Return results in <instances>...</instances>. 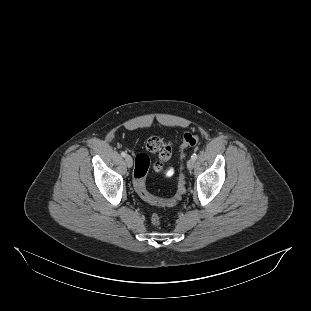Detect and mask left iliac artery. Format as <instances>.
Masks as SVG:
<instances>
[{
  "label": "left iliac artery",
  "mask_w": 311,
  "mask_h": 311,
  "mask_svg": "<svg viewBox=\"0 0 311 311\" xmlns=\"http://www.w3.org/2000/svg\"><path fill=\"white\" fill-rule=\"evenodd\" d=\"M197 157H198V156H197V154H195V153L191 156V158H192L193 160H196Z\"/></svg>",
  "instance_id": "left-iliac-artery-1"
}]
</instances>
